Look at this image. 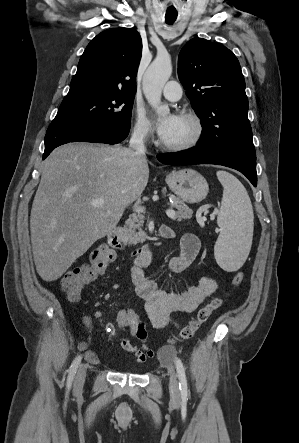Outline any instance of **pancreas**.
I'll use <instances>...</instances> for the list:
<instances>
[{"label": "pancreas", "mask_w": 299, "mask_h": 443, "mask_svg": "<svg viewBox=\"0 0 299 443\" xmlns=\"http://www.w3.org/2000/svg\"><path fill=\"white\" fill-rule=\"evenodd\" d=\"M172 206L176 208L173 219H190L193 216L192 210L180 198L171 196ZM144 216L141 213H134L125 222L123 240L128 244H138L145 242L147 235L143 231Z\"/></svg>", "instance_id": "cf45deb5"}]
</instances>
